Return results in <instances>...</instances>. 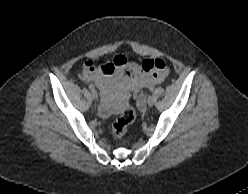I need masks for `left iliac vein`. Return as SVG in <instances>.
Wrapping results in <instances>:
<instances>
[{
	"mask_svg": "<svg viewBox=\"0 0 248 194\" xmlns=\"http://www.w3.org/2000/svg\"><path fill=\"white\" fill-rule=\"evenodd\" d=\"M147 103H148V106L150 107L153 106V104L155 103V97L152 95L148 96Z\"/></svg>",
	"mask_w": 248,
	"mask_h": 194,
	"instance_id": "4c4485c4",
	"label": "left iliac vein"
}]
</instances>
